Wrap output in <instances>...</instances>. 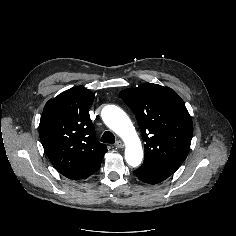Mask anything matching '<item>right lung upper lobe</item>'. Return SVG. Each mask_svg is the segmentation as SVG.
<instances>
[{"instance_id":"obj_1","label":"right lung upper lobe","mask_w":236,"mask_h":236,"mask_svg":"<svg viewBox=\"0 0 236 236\" xmlns=\"http://www.w3.org/2000/svg\"><path fill=\"white\" fill-rule=\"evenodd\" d=\"M93 93L77 86L49 100L43 110L39 136L55 169L69 179H86L96 172L107 152L98 142L88 110Z\"/></svg>"}]
</instances>
